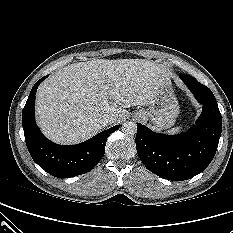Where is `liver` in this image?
I'll return each mask as SVG.
<instances>
[{
	"mask_svg": "<svg viewBox=\"0 0 233 233\" xmlns=\"http://www.w3.org/2000/svg\"><path fill=\"white\" fill-rule=\"evenodd\" d=\"M168 80L160 64L145 59H93L70 64L47 78L36 95L37 122L60 144L90 139L102 127L95 121L109 115L122 120L125 108L148 105Z\"/></svg>",
	"mask_w": 233,
	"mask_h": 233,
	"instance_id": "6515ba94",
	"label": "liver"
}]
</instances>
